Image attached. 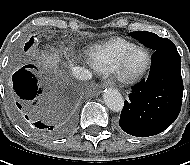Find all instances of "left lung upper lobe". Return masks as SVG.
Returning <instances> with one entry per match:
<instances>
[{
  "label": "left lung upper lobe",
  "instance_id": "left-lung-upper-lobe-1",
  "mask_svg": "<svg viewBox=\"0 0 190 165\" xmlns=\"http://www.w3.org/2000/svg\"><path fill=\"white\" fill-rule=\"evenodd\" d=\"M129 35L133 38H136L139 42H141L146 47H149L154 51L171 43L169 39L161 38L158 35L151 32H131L129 33Z\"/></svg>",
  "mask_w": 190,
  "mask_h": 165
}]
</instances>
